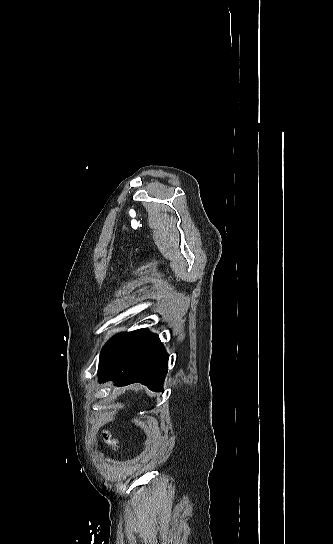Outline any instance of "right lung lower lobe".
<instances>
[{"mask_svg":"<svg viewBox=\"0 0 333 544\" xmlns=\"http://www.w3.org/2000/svg\"><path fill=\"white\" fill-rule=\"evenodd\" d=\"M169 355L156 334L144 333L99 367V382L116 386L141 383L152 391H162Z\"/></svg>","mask_w":333,"mask_h":544,"instance_id":"1","label":"right lung lower lobe"}]
</instances>
